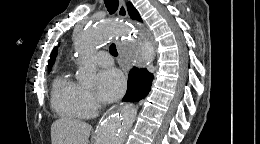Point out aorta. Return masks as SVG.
Masks as SVG:
<instances>
[{"label": "aorta", "mask_w": 260, "mask_h": 144, "mask_svg": "<svg viewBox=\"0 0 260 144\" xmlns=\"http://www.w3.org/2000/svg\"><path fill=\"white\" fill-rule=\"evenodd\" d=\"M131 27L114 21H104L74 34L75 49L81 64L78 80L86 86H93L96 79V64L93 59L96 47L107 44L116 34L130 33ZM128 53L132 59L137 57L136 47L130 46ZM136 117V108L127 104L104 118L97 132L96 144H124L127 134Z\"/></svg>", "instance_id": "762f6f07"}]
</instances>
